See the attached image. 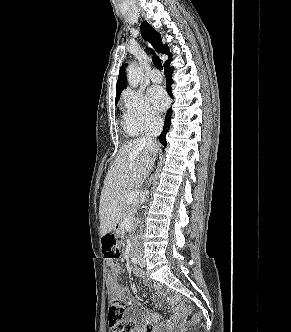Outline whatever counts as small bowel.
Returning a JSON list of instances; mask_svg holds the SVG:
<instances>
[{
    "mask_svg": "<svg viewBox=\"0 0 291 332\" xmlns=\"http://www.w3.org/2000/svg\"><path fill=\"white\" fill-rule=\"evenodd\" d=\"M110 264H111V270L109 273L110 294L112 298L122 297L124 296V294L116 290V286L118 283V276L121 273L122 268L118 264H113L112 261H110ZM133 273L138 277L143 276L142 272L137 268L133 269ZM163 298L164 296L162 291L159 288H156L154 301L157 304H161ZM168 301L171 303V299H168ZM130 313H131V324L134 326V332H139L140 327L142 325L154 323L159 320V316L157 314L149 313L141 304H139L135 300L131 301ZM182 321H183V316L179 313H176L172 316L171 320L168 322V325H173Z\"/></svg>",
    "mask_w": 291,
    "mask_h": 332,
    "instance_id": "small-bowel-1",
    "label": "small bowel"
}]
</instances>
